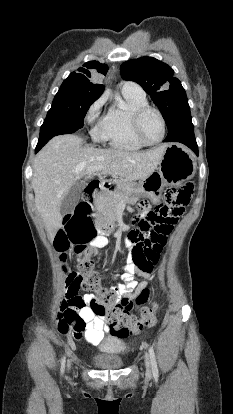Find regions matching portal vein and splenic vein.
<instances>
[{
    "instance_id": "portal-vein-and-splenic-vein-1",
    "label": "portal vein and splenic vein",
    "mask_w": 233,
    "mask_h": 414,
    "mask_svg": "<svg viewBox=\"0 0 233 414\" xmlns=\"http://www.w3.org/2000/svg\"><path fill=\"white\" fill-rule=\"evenodd\" d=\"M103 169H104V167H102V166H97V167L93 168L92 170H93V171H102Z\"/></svg>"
}]
</instances>
